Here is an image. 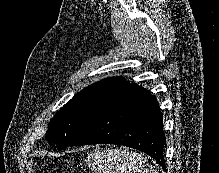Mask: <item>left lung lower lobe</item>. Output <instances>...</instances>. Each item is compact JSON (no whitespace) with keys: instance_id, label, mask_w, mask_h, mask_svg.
Returning <instances> with one entry per match:
<instances>
[{"instance_id":"1","label":"left lung lower lobe","mask_w":219,"mask_h":173,"mask_svg":"<svg viewBox=\"0 0 219 173\" xmlns=\"http://www.w3.org/2000/svg\"><path fill=\"white\" fill-rule=\"evenodd\" d=\"M87 144L132 147L150 155L166 170L163 118L156 97L130 84L99 110L71 145Z\"/></svg>"}]
</instances>
